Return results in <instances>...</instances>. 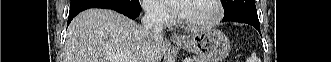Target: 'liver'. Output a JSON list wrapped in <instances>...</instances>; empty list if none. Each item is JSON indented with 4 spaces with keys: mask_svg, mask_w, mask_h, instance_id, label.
I'll return each mask as SVG.
<instances>
[{
    "mask_svg": "<svg viewBox=\"0 0 331 62\" xmlns=\"http://www.w3.org/2000/svg\"><path fill=\"white\" fill-rule=\"evenodd\" d=\"M163 37L151 40L133 20L113 10L89 9L70 23L64 62H111L108 57L133 55L138 62H160Z\"/></svg>",
    "mask_w": 331,
    "mask_h": 62,
    "instance_id": "6515ba94",
    "label": "liver"
}]
</instances>
